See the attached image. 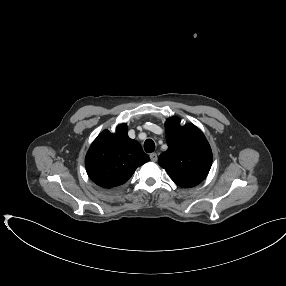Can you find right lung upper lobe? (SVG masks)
<instances>
[{
	"label": "right lung upper lobe",
	"mask_w": 286,
	"mask_h": 286,
	"mask_svg": "<svg viewBox=\"0 0 286 286\" xmlns=\"http://www.w3.org/2000/svg\"><path fill=\"white\" fill-rule=\"evenodd\" d=\"M149 161L141 145L128 137L127 125L116 133L104 130L90 146L85 165L90 179L98 186L110 189L126 183L136 168Z\"/></svg>",
	"instance_id": "1"
}]
</instances>
